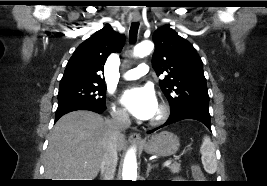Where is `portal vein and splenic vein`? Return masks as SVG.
Returning a JSON list of instances; mask_svg holds the SVG:
<instances>
[{
    "mask_svg": "<svg viewBox=\"0 0 267 186\" xmlns=\"http://www.w3.org/2000/svg\"><path fill=\"white\" fill-rule=\"evenodd\" d=\"M171 164V160H167L164 162L163 166L168 167Z\"/></svg>",
    "mask_w": 267,
    "mask_h": 186,
    "instance_id": "18ae733b",
    "label": "portal vein and splenic vein"
}]
</instances>
